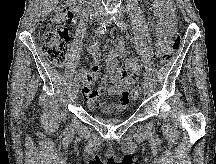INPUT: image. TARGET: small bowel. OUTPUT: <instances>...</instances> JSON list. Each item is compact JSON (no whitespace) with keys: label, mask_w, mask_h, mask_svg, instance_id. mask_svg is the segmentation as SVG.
<instances>
[{"label":"small bowel","mask_w":216,"mask_h":164,"mask_svg":"<svg viewBox=\"0 0 216 164\" xmlns=\"http://www.w3.org/2000/svg\"><path fill=\"white\" fill-rule=\"evenodd\" d=\"M173 0H153L151 5V21L154 25L156 36L155 55L160 57L167 40V35L176 22L174 15ZM88 52L93 59V71L96 72L98 64L102 60L100 47L97 43L89 46ZM125 58V67L119 65V59ZM106 63L108 68V76H105L102 83L97 88L92 85L83 83L82 95L87 107L91 111H101L104 113L122 112L129 103L128 91L136 81L140 66L138 59L132 56L125 47L123 40H117L114 49L110 50ZM104 94H112L120 96L117 103L100 102L99 97Z\"/></svg>","instance_id":"c3829d8e"}]
</instances>
